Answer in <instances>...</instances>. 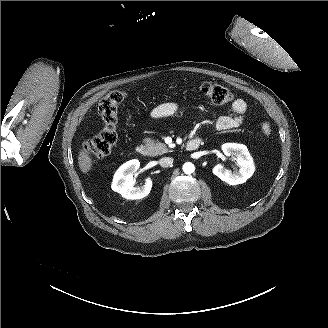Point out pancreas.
Returning a JSON list of instances; mask_svg holds the SVG:
<instances>
[{
    "label": "pancreas",
    "instance_id": "obj_1",
    "mask_svg": "<svg viewBox=\"0 0 328 328\" xmlns=\"http://www.w3.org/2000/svg\"><path fill=\"white\" fill-rule=\"evenodd\" d=\"M143 143L146 146L148 156L154 157L168 152L167 146L159 141L150 138H145L143 140Z\"/></svg>",
    "mask_w": 328,
    "mask_h": 328
}]
</instances>
